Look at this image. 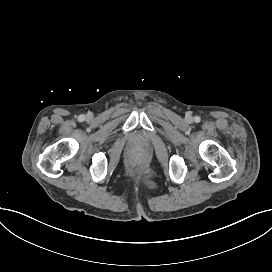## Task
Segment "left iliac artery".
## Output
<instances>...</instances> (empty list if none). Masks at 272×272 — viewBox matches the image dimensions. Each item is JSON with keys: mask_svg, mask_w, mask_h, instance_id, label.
<instances>
[{"mask_svg": "<svg viewBox=\"0 0 272 272\" xmlns=\"http://www.w3.org/2000/svg\"><path fill=\"white\" fill-rule=\"evenodd\" d=\"M194 119H195V122H197V123L200 122V117L199 116H196Z\"/></svg>", "mask_w": 272, "mask_h": 272, "instance_id": "44dca946", "label": "left iliac artery"}]
</instances>
